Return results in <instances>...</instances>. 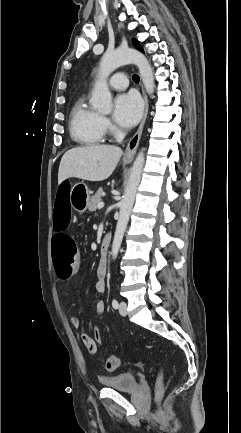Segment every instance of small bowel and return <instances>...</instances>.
<instances>
[{
	"label": "small bowel",
	"instance_id": "1",
	"mask_svg": "<svg viewBox=\"0 0 241 433\" xmlns=\"http://www.w3.org/2000/svg\"><path fill=\"white\" fill-rule=\"evenodd\" d=\"M59 232L60 231H58L57 234ZM106 270H107L106 262L101 260L98 264V267H97L98 279H97L96 284H95V289L99 294H103L106 290V280H105ZM104 311H105V302L103 300H99L96 303V312L98 314H102V313H104ZM70 322L74 328L80 327V320L78 317L72 316L70 318ZM81 340H82L83 344L85 345V347L87 348L89 353H91V354L97 353L98 346H97L95 340L90 335H88L86 333H82L81 334ZM90 344L92 346H90Z\"/></svg>",
	"mask_w": 241,
	"mask_h": 433
}]
</instances>
